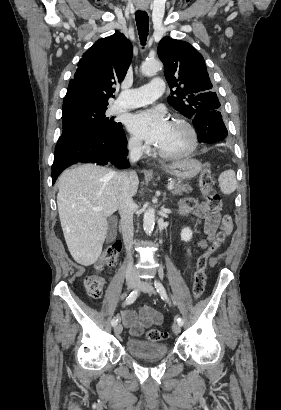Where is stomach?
Wrapping results in <instances>:
<instances>
[{
  "label": "stomach",
  "mask_w": 281,
  "mask_h": 410,
  "mask_svg": "<svg viewBox=\"0 0 281 410\" xmlns=\"http://www.w3.org/2000/svg\"><path fill=\"white\" fill-rule=\"evenodd\" d=\"M162 169L178 179L188 180L201 171L202 165L196 159L187 158L163 165Z\"/></svg>",
  "instance_id": "stomach-1"
}]
</instances>
